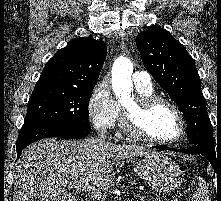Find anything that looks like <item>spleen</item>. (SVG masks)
<instances>
[{"label": "spleen", "mask_w": 221, "mask_h": 201, "mask_svg": "<svg viewBox=\"0 0 221 201\" xmlns=\"http://www.w3.org/2000/svg\"><path fill=\"white\" fill-rule=\"evenodd\" d=\"M192 201H210L208 188L203 179L199 180L198 188L192 196Z\"/></svg>", "instance_id": "spleen-1"}]
</instances>
